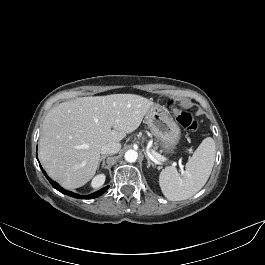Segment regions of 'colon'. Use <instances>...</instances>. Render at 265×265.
Wrapping results in <instances>:
<instances>
[{
    "label": "colon",
    "instance_id": "obj_1",
    "mask_svg": "<svg viewBox=\"0 0 265 265\" xmlns=\"http://www.w3.org/2000/svg\"><path fill=\"white\" fill-rule=\"evenodd\" d=\"M171 106L176 115L177 122L185 129L193 131L197 128L198 122L193 114L187 110L179 109L174 106V102L170 101Z\"/></svg>",
    "mask_w": 265,
    "mask_h": 265
}]
</instances>
